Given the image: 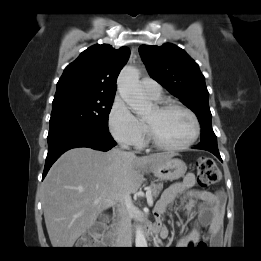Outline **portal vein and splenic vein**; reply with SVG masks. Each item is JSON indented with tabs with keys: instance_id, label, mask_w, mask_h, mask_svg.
<instances>
[{
	"instance_id": "1",
	"label": "portal vein and splenic vein",
	"mask_w": 261,
	"mask_h": 261,
	"mask_svg": "<svg viewBox=\"0 0 261 261\" xmlns=\"http://www.w3.org/2000/svg\"><path fill=\"white\" fill-rule=\"evenodd\" d=\"M146 197H147V203L149 206H153V199H152V195H151V190L147 189L146 190Z\"/></svg>"
}]
</instances>
